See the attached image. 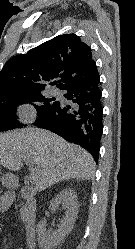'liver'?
<instances>
[{"label": "liver", "instance_id": "liver-1", "mask_svg": "<svg viewBox=\"0 0 135 249\" xmlns=\"http://www.w3.org/2000/svg\"><path fill=\"white\" fill-rule=\"evenodd\" d=\"M24 157L37 166L34 182L38 191L64 180L94 177L91 154L52 132L27 128L0 134V165L18 171Z\"/></svg>", "mask_w": 135, "mask_h": 249}]
</instances>
